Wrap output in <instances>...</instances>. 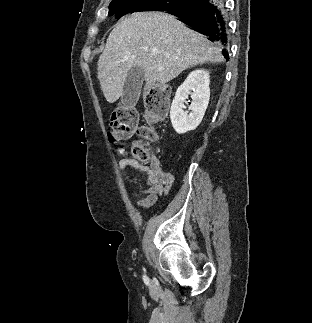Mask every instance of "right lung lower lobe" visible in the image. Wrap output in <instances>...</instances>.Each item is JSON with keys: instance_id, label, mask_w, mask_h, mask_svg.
Returning a JSON list of instances; mask_svg holds the SVG:
<instances>
[{"instance_id": "right-lung-lower-lobe-1", "label": "right lung lower lobe", "mask_w": 312, "mask_h": 323, "mask_svg": "<svg viewBox=\"0 0 312 323\" xmlns=\"http://www.w3.org/2000/svg\"><path fill=\"white\" fill-rule=\"evenodd\" d=\"M224 4L221 0H188L182 6L168 9L167 13L177 16L191 29L208 36L210 41L220 46L222 54L228 59L229 27Z\"/></svg>"}]
</instances>
